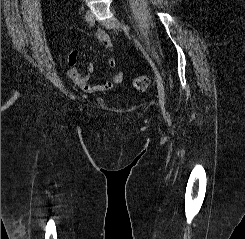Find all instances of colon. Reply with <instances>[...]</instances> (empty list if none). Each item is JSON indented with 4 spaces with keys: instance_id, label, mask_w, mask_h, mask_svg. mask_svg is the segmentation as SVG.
<instances>
[{
    "instance_id": "1",
    "label": "colon",
    "mask_w": 245,
    "mask_h": 239,
    "mask_svg": "<svg viewBox=\"0 0 245 239\" xmlns=\"http://www.w3.org/2000/svg\"><path fill=\"white\" fill-rule=\"evenodd\" d=\"M150 83L151 79L146 75L138 76L134 80V86L138 91H145L149 87Z\"/></svg>"
}]
</instances>
